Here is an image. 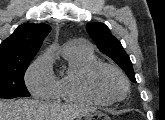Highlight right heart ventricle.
Masks as SVG:
<instances>
[{
  "mask_svg": "<svg viewBox=\"0 0 165 120\" xmlns=\"http://www.w3.org/2000/svg\"><path fill=\"white\" fill-rule=\"evenodd\" d=\"M62 54L66 61V71L57 79L53 98L68 104H100L84 89L86 72L92 65L99 62L94 52L89 48H64Z\"/></svg>",
  "mask_w": 165,
  "mask_h": 120,
  "instance_id": "obj_1",
  "label": "right heart ventricle"
}]
</instances>
